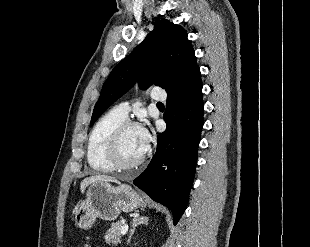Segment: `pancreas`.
Here are the masks:
<instances>
[{"label": "pancreas", "instance_id": "1", "mask_svg": "<svg viewBox=\"0 0 310 247\" xmlns=\"http://www.w3.org/2000/svg\"><path fill=\"white\" fill-rule=\"evenodd\" d=\"M124 226L121 222H116L111 225V228L106 232L105 242L112 246L121 244V228Z\"/></svg>", "mask_w": 310, "mask_h": 247}]
</instances>
